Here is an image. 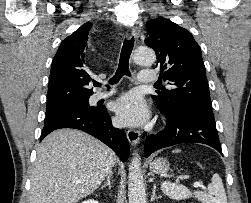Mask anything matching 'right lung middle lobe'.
Returning <instances> with one entry per match:
<instances>
[{
    "instance_id": "dd1d6c3e",
    "label": "right lung middle lobe",
    "mask_w": 251,
    "mask_h": 203,
    "mask_svg": "<svg viewBox=\"0 0 251 203\" xmlns=\"http://www.w3.org/2000/svg\"><path fill=\"white\" fill-rule=\"evenodd\" d=\"M74 107L86 108V109H91V110L96 109L95 107H92V106L89 105L88 99L80 101V102L73 103V104L65 106L63 108H74ZM63 108H58V109H53V110L52 109H46V114H49L51 112H54V111H57V110H60V109H63Z\"/></svg>"
}]
</instances>
